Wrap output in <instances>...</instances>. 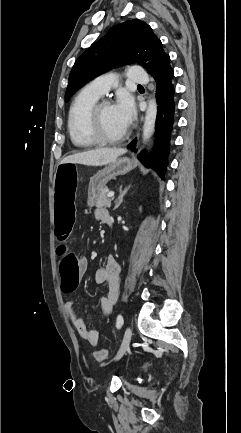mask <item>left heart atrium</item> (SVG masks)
Wrapping results in <instances>:
<instances>
[{
	"label": "left heart atrium",
	"instance_id": "1",
	"mask_svg": "<svg viewBox=\"0 0 241 433\" xmlns=\"http://www.w3.org/2000/svg\"><path fill=\"white\" fill-rule=\"evenodd\" d=\"M113 106L121 122L127 129L135 117V108L132 99L126 94H121Z\"/></svg>",
	"mask_w": 241,
	"mask_h": 433
}]
</instances>
